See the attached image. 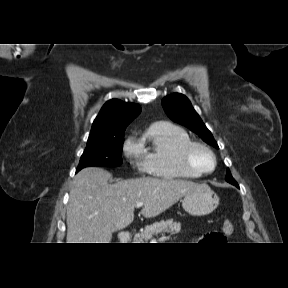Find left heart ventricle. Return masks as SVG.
<instances>
[{"instance_id":"1","label":"left heart ventricle","mask_w":288,"mask_h":288,"mask_svg":"<svg viewBox=\"0 0 288 288\" xmlns=\"http://www.w3.org/2000/svg\"><path fill=\"white\" fill-rule=\"evenodd\" d=\"M195 163L205 170H210L213 167V160L211 156L202 149H197L194 152Z\"/></svg>"}]
</instances>
